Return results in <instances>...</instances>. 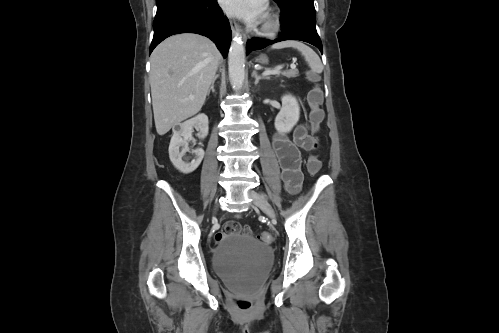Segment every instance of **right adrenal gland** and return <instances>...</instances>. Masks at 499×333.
Masks as SVG:
<instances>
[{
	"label": "right adrenal gland",
	"mask_w": 499,
	"mask_h": 333,
	"mask_svg": "<svg viewBox=\"0 0 499 333\" xmlns=\"http://www.w3.org/2000/svg\"><path fill=\"white\" fill-rule=\"evenodd\" d=\"M218 77H219V75L217 74V75H215L214 79L212 80L211 86H210V88H209V90H208V92H207V95H208V96H209V94H210V91H212L213 93L215 92V89H214V83H215V81H216V79H217Z\"/></svg>",
	"instance_id": "obj_1"
}]
</instances>
